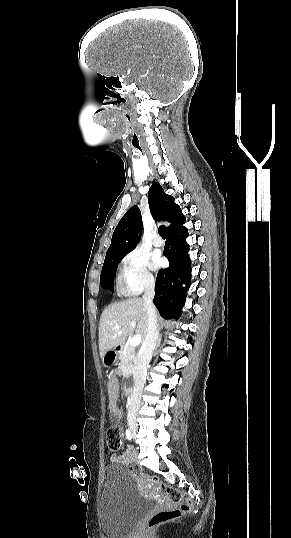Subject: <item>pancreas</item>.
<instances>
[{
  "mask_svg": "<svg viewBox=\"0 0 291 538\" xmlns=\"http://www.w3.org/2000/svg\"><path fill=\"white\" fill-rule=\"evenodd\" d=\"M120 367L122 371L132 373L135 368L136 352L130 343H124L119 353Z\"/></svg>",
  "mask_w": 291,
  "mask_h": 538,
  "instance_id": "pancreas-1",
  "label": "pancreas"
}]
</instances>
